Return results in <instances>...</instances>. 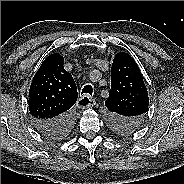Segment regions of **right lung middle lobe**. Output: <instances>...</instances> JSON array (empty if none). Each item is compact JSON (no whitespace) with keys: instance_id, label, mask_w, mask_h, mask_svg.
<instances>
[{"instance_id":"1","label":"right lung middle lobe","mask_w":184,"mask_h":184,"mask_svg":"<svg viewBox=\"0 0 184 184\" xmlns=\"http://www.w3.org/2000/svg\"><path fill=\"white\" fill-rule=\"evenodd\" d=\"M72 126H73V124H71V125H70L68 128H66L64 131L59 132V133L54 134V135L47 136V137H50V138H52V139H59V138L65 137V136L68 135V133L71 131Z\"/></svg>"}]
</instances>
